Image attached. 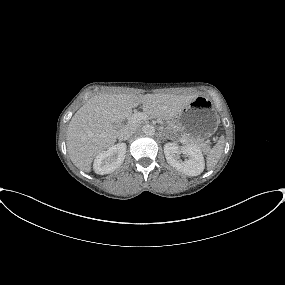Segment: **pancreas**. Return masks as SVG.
Returning a JSON list of instances; mask_svg holds the SVG:
<instances>
[{
    "label": "pancreas",
    "instance_id": "obj_1",
    "mask_svg": "<svg viewBox=\"0 0 285 285\" xmlns=\"http://www.w3.org/2000/svg\"><path fill=\"white\" fill-rule=\"evenodd\" d=\"M167 130L170 133H175L176 131L179 130V127L174 122H168ZM185 136H186L185 141L188 142L189 144L196 145L197 147L201 148L205 153L209 151V148H210L209 145L206 142H204L202 139H195L187 135Z\"/></svg>",
    "mask_w": 285,
    "mask_h": 285
}]
</instances>
